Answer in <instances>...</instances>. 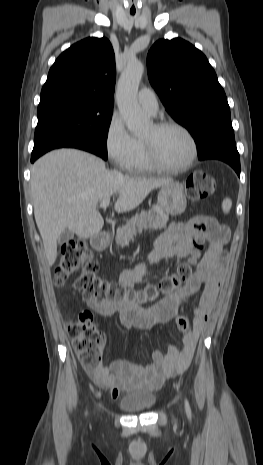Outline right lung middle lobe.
<instances>
[{
  "instance_id": "right-lung-middle-lobe-1",
  "label": "right lung middle lobe",
  "mask_w": 263,
  "mask_h": 465,
  "mask_svg": "<svg viewBox=\"0 0 263 465\" xmlns=\"http://www.w3.org/2000/svg\"><path fill=\"white\" fill-rule=\"evenodd\" d=\"M112 111L113 106L81 99L58 98L41 102L34 150L58 138L74 137L89 143L106 160Z\"/></svg>"
}]
</instances>
